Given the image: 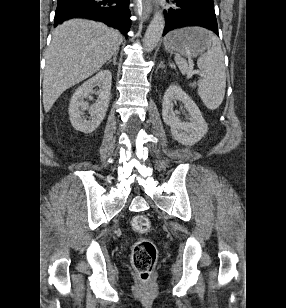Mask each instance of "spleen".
I'll use <instances>...</instances> for the list:
<instances>
[{"label": "spleen", "instance_id": "spleen-1", "mask_svg": "<svg viewBox=\"0 0 286 308\" xmlns=\"http://www.w3.org/2000/svg\"><path fill=\"white\" fill-rule=\"evenodd\" d=\"M211 40L212 46L197 60L201 73L197 92L204 105L210 110H215L225 96L226 73L221 42L212 33ZM175 62L183 75L188 73L189 65L185 59L176 54Z\"/></svg>", "mask_w": 286, "mask_h": 308}]
</instances>
